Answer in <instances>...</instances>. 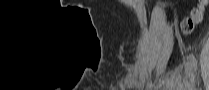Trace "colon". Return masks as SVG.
Masks as SVG:
<instances>
[{
	"mask_svg": "<svg viewBox=\"0 0 209 90\" xmlns=\"http://www.w3.org/2000/svg\"><path fill=\"white\" fill-rule=\"evenodd\" d=\"M209 1L202 0L198 6L194 8L188 17L181 22V30L184 34L191 33L195 26L203 21Z\"/></svg>",
	"mask_w": 209,
	"mask_h": 90,
	"instance_id": "5ec220e1",
	"label": "colon"
}]
</instances>
